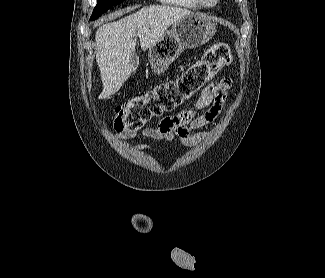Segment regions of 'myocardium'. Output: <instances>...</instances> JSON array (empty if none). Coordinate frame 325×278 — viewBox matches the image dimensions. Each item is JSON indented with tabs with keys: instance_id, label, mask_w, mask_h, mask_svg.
I'll return each instance as SVG.
<instances>
[{
	"instance_id": "f54148a6",
	"label": "myocardium",
	"mask_w": 325,
	"mask_h": 278,
	"mask_svg": "<svg viewBox=\"0 0 325 278\" xmlns=\"http://www.w3.org/2000/svg\"><path fill=\"white\" fill-rule=\"evenodd\" d=\"M202 1L206 6H214L219 2V0H202Z\"/></svg>"
}]
</instances>
